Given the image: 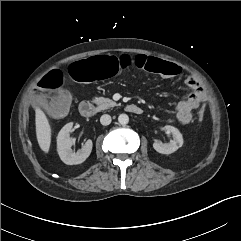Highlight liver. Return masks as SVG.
I'll return each instance as SVG.
<instances>
[{
	"label": "liver",
	"instance_id": "1",
	"mask_svg": "<svg viewBox=\"0 0 241 241\" xmlns=\"http://www.w3.org/2000/svg\"><path fill=\"white\" fill-rule=\"evenodd\" d=\"M36 137L41 150L49 152L51 144V127L44 112L36 108L35 110Z\"/></svg>",
	"mask_w": 241,
	"mask_h": 241
}]
</instances>
